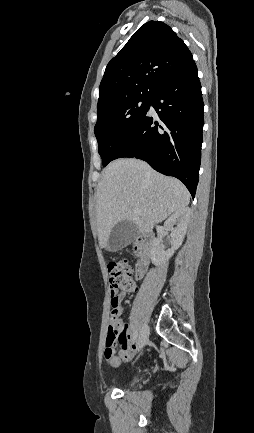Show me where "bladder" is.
<instances>
[{"label": "bladder", "mask_w": 254, "mask_h": 433, "mask_svg": "<svg viewBox=\"0 0 254 433\" xmlns=\"http://www.w3.org/2000/svg\"><path fill=\"white\" fill-rule=\"evenodd\" d=\"M137 382V379L134 378L132 381L129 382V385H134Z\"/></svg>", "instance_id": "bladder-1"}]
</instances>
